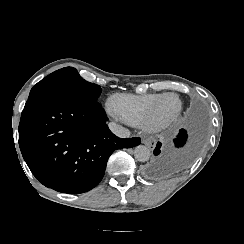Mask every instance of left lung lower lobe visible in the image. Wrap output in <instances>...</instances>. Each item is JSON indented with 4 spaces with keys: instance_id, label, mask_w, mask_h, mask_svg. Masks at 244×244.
Returning <instances> with one entry per match:
<instances>
[{
    "instance_id": "obj_1",
    "label": "left lung lower lobe",
    "mask_w": 244,
    "mask_h": 244,
    "mask_svg": "<svg viewBox=\"0 0 244 244\" xmlns=\"http://www.w3.org/2000/svg\"><path fill=\"white\" fill-rule=\"evenodd\" d=\"M187 140V133L184 129H181L178 136L174 139V144L176 147H182ZM160 147L161 143H157V146L154 150V155H159L160 154ZM156 165H153L152 168H155Z\"/></svg>"
}]
</instances>
